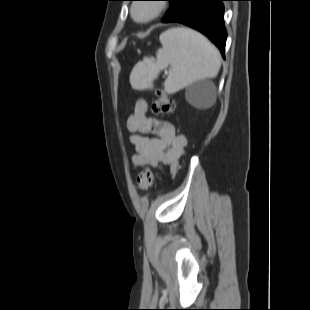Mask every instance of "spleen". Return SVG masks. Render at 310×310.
I'll list each match as a JSON object with an SVG mask.
<instances>
[{"label": "spleen", "instance_id": "1", "mask_svg": "<svg viewBox=\"0 0 310 310\" xmlns=\"http://www.w3.org/2000/svg\"><path fill=\"white\" fill-rule=\"evenodd\" d=\"M162 48L156 58L149 57L138 63L130 75L134 89L152 88L154 78L170 66L164 89L175 93L203 79L214 78L221 67V57L216 47L199 32L176 27L160 36Z\"/></svg>", "mask_w": 310, "mask_h": 310}]
</instances>
